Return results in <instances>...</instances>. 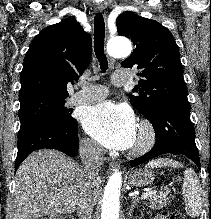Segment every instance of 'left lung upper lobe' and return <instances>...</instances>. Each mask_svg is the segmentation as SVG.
Instances as JSON below:
<instances>
[{
	"label": "left lung upper lobe",
	"instance_id": "obj_1",
	"mask_svg": "<svg viewBox=\"0 0 211 219\" xmlns=\"http://www.w3.org/2000/svg\"><path fill=\"white\" fill-rule=\"evenodd\" d=\"M118 34L130 38L135 49L121 66L140 70L131 104L149 118L156 108L169 101H186L187 88L179 48L170 31L155 20L124 12L116 19Z\"/></svg>",
	"mask_w": 211,
	"mask_h": 219
}]
</instances>
